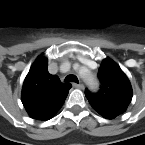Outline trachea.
Returning a JSON list of instances; mask_svg holds the SVG:
<instances>
[{
	"label": "trachea",
	"instance_id": "1",
	"mask_svg": "<svg viewBox=\"0 0 145 145\" xmlns=\"http://www.w3.org/2000/svg\"><path fill=\"white\" fill-rule=\"evenodd\" d=\"M65 81H71V82L79 83L78 78L75 75H68L65 78Z\"/></svg>",
	"mask_w": 145,
	"mask_h": 145
}]
</instances>
